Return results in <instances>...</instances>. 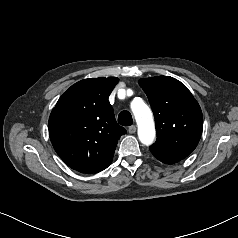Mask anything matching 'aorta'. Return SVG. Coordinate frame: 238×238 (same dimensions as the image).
<instances>
[{
  "label": "aorta",
  "instance_id": "1",
  "mask_svg": "<svg viewBox=\"0 0 238 238\" xmlns=\"http://www.w3.org/2000/svg\"><path fill=\"white\" fill-rule=\"evenodd\" d=\"M131 109L138 126V138L141 143L151 145L156 136L153 114L142 99H135L131 103Z\"/></svg>",
  "mask_w": 238,
  "mask_h": 238
}]
</instances>
